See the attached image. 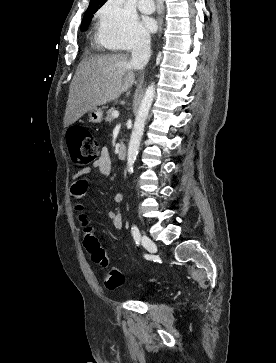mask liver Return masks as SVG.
Returning a JSON list of instances; mask_svg holds the SVG:
<instances>
[{"label": "liver", "mask_w": 276, "mask_h": 363, "mask_svg": "<svg viewBox=\"0 0 276 363\" xmlns=\"http://www.w3.org/2000/svg\"><path fill=\"white\" fill-rule=\"evenodd\" d=\"M133 69L127 54L94 55L83 59L70 84L64 127L91 109L118 99L137 84Z\"/></svg>", "instance_id": "1"}]
</instances>
